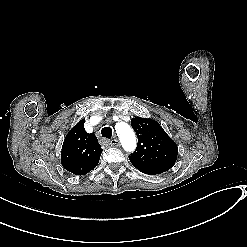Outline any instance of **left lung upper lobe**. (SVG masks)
Instances as JSON below:
<instances>
[{
  "instance_id": "1",
  "label": "left lung upper lobe",
  "mask_w": 247,
  "mask_h": 247,
  "mask_svg": "<svg viewBox=\"0 0 247 247\" xmlns=\"http://www.w3.org/2000/svg\"><path fill=\"white\" fill-rule=\"evenodd\" d=\"M131 125L138 136L137 149L129 156L132 165L149 175L169 170L177 159L176 143L152 119L136 117Z\"/></svg>"
}]
</instances>
